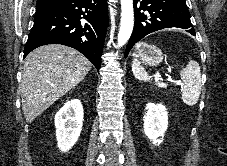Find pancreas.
Listing matches in <instances>:
<instances>
[{"mask_svg": "<svg viewBox=\"0 0 227 166\" xmlns=\"http://www.w3.org/2000/svg\"><path fill=\"white\" fill-rule=\"evenodd\" d=\"M159 87H160V88H166V86L163 85V84H160Z\"/></svg>", "mask_w": 227, "mask_h": 166, "instance_id": "1", "label": "pancreas"}]
</instances>
